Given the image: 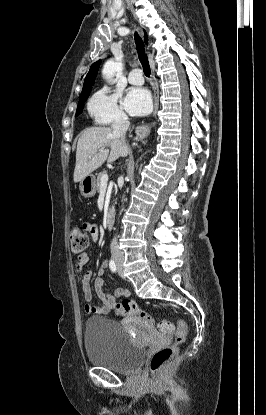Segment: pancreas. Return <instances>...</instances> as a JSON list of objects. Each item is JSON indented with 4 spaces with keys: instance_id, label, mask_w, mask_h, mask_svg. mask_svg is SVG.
I'll use <instances>...</instances> for the list:
<instances>
[{
    "instance_id": "pancreas-1",
    "label": "pancreas",
    "mask_w": 266,
    "mask_h": 415,
    "mask_svg": "<svg viewBox=\"0 0 266 415\" xmlns=\"http://www.w3.org/2000/svg\"><path fill=\"white\" fill-rule=\"evenodd\" d=\"M104 174H106V172H105V171H103V172L99 173V174H98V176H97V179H96V190H97V192H100V190H101V184H100V181H101V178H102V176H103Z\"/></svg>"
}]
</instances>
